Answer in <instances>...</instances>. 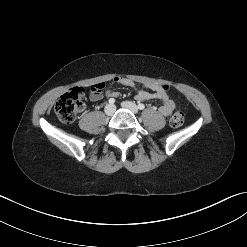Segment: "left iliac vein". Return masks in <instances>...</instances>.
I'll use <instances>...</instances> for the list:
<instances>
[{"label": "left iliac vein", "instance_id": "4c4485c4", "mask_svg": "<svg viewBox=\"0 0 247 247\" xmlns=\"http://www.w3.org/2000/svg\"><path fill=\"white\" fill-rule=\"evenodd\" d=\"M121 106L125 109L130 110L133 113H138V107L135 103L130 102V101H124L122 102Z\"/></svg>", "mask_w": 247, "mask_h": 247}]
</instances>
